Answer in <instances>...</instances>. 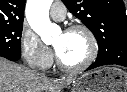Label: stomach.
<instances>
[{
  "mask_svg": "<svg viewBox=\"0 0 127 92\" xmlns=\"http://www.w3.org/2000/svg\"><path fill=\"white\" fill-rule=\"evenodd\" d=\"M71 92H127V72L103 67L77 78Z\"/></svg>",
  "mask_w": 127,
  "mask_h": 92,
  "instance_id": "obj_1",
  "label": "stomach"
}]
</instances>
